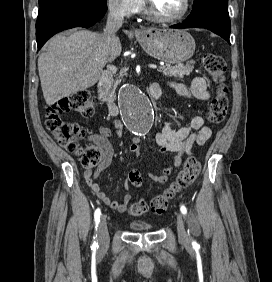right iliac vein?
<instances>
[{"instance_id": "obj_1", "label": "right iliac vein", "mask_w": 272, "mask_h": 282, "mask_svg": "<svg viewBox=\"0 0 272 282\" xmlns=\"http://www.w3.org/2000/svg\"><path fill=\"white\" fill-rule=\"evenodd\" d=\"M99 244L104 247L109 242L108 226L106 216H102L98 226Z\"/></svg>"}]
</instances>
